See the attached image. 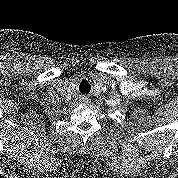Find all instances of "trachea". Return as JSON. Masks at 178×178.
<instances>
[{"instance_id": "obj_1", "label": "trachea", "mask_w": 178, "mask_h": 178, "mask_svg": "<svg viewBox=\"0 0 178 178\" xmlns=\"http://www.w3.org/2000/svg\"><path fill=\"white\" fill-rule=\"evenodd\" d=\"M79 91L82 94H88L91 91V85L88 81L83 80L79 83Z\"/></svg>"}]
</instances>
